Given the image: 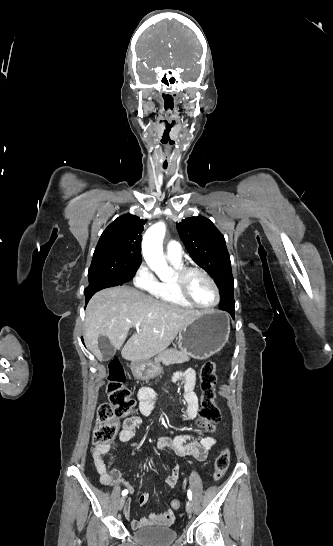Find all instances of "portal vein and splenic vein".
Here are the masks:
<instances>
[{"label":"portal vein and splenic vein","instance_id":"obj_1","mask_svg":"<svg viewBox=\"0 0 333 546\" xmlns=\"http://www.w3.org/2000/svg\"><path fill=\"white\" fill-rule=\"evenodd\" d=\"M139 326H140V322L135 324V327H136L137 331L139 330Z\"/></svg>","mask_w":333,"mask_h":546}]
</instances>
